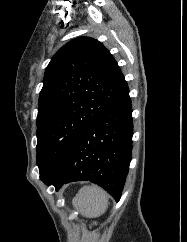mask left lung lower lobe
Returning a JSON list of instances; mask_svg holds the SVG:
<instances>
[{
	"label": "left lung lower lobe",
	"mask_w": 187,
	"mask_h": 242,
	"mask_svg": "<svg viewBox=\"0 0 187 242\" xmlns=\"http://www.w3.org/2000/svg\"><path fill=\"white\" fill-rule=\"evenodd\" d=\"M132 135L128 91L90 125L54 171L40 178L57 191L64 183L89 180L119 201L131 160Z\"/></svg>",
	"instance_id": "0a47b994"
}]
</instances>
